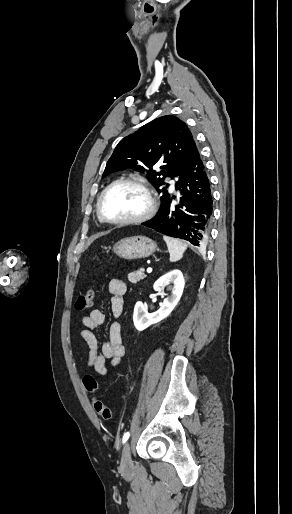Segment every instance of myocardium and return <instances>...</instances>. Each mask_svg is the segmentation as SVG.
Wrapping results in <instances>:
<instances>
[{
	"label": "myocardium",
	"mask_w": 292,
	"mask_h": 514,
	"mask_svg": "<svg viewBox=\"0 0 292 514\" xmlns=\"http://www.w3.org/2000/svg\"><path fill=\"white\" fill-rule=\"evenodd\" d=\"M119 185H133V186L140 188L144 192L146 199H147V206H146V209L144 210V212H142L141 214H139L135 217L124 219V220H111L104 216V214L102 213L103 198L105 197V195L107 194L108 191H110L112 188L119 186ZM154 210H155V200L152 195V192L148 188L146 182L139 178H122V179L113 181L101 192V194L99 195L98 200H97V215H98L99 219L105 223L113 224V225L126 226V225L137 224V223L143 222L153 214Z\"/></svg>",
	"instance_id": "1"
}]
</instances>
